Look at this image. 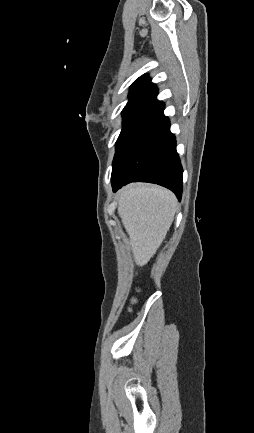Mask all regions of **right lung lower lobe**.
I'll use <instances>...</instances> for the list:
<instances>
[{"label":"right lung lower lobe","mask_w":254,"mask_h":433,"mask_svg":"<svg viewBox=\"0 0 254 433\" xmlns=\"http://www.w3.org/2000/svg\"><path fill=\"white\" fill-rule=\"evenodd\" d=\"M164 104L155 98L127 122L112 164L113 191L130 182H150L182 195L183 169Z\"/></svg>","instance_id":"98d812e1"}]
</instances>
